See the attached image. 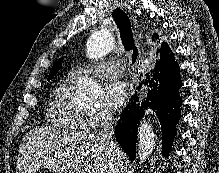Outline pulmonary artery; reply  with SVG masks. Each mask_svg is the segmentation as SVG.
<instances>
[{"mask_svg":"<svg viewBox=\"0 0 219 173\" xmlns=\"http://www.w3.org/2000/svg\"><path fill=\"white\" fill-rule=\"evenodd\" d=\"M121 74L122 67L118 61H103L71 69L68 73V78L75 81L82 75H93L101 79H110L119 77Z\"/></svg>","mask_w":219,"mask_h":173,"instance_id":"pulmonary-artery-1","label":"pulmonary artery"}]
</instances>
